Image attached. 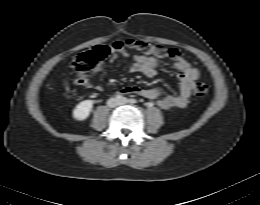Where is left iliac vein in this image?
Masks as SVG:
<instances>
[{
  "mask_svg": "<svg viewBox=\"0 0 260 205\" xmlns=\"http://www.w3.org/2000/svg\"><path fill=\"white\" fill-rule=\"evenodd\" d=\"M129 103H130V100L127 99V98H123L121 100H118L119 105H126V104H129Z\"/></svg>",
  "mask_w": 260,
  "mask_h": 205,
  "instance_id": "4c4485c4",
  "label": "left iliac vein"
}]
</instances>
